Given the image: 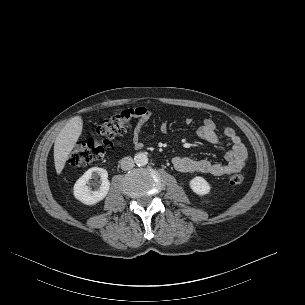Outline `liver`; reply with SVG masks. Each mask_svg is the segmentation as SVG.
<instances>
[{
	"label": "liver",
	"instance_id": "obj_1",
	"mask_svg": "<svg viewBox=\"0 0 305 305\" xmlns=\"http://www.w3.org/2000/svg\"><path fill=\"white\" fill-rule=\"evenodd\" d=\"M83 129L81 116L71 118L62 128L54 143V164L56 173L60 175L65 167L69 154L73 150Z\"/></svg>",
	"mask_w": 305,
	"mask_h": 305
}]
</instances>
